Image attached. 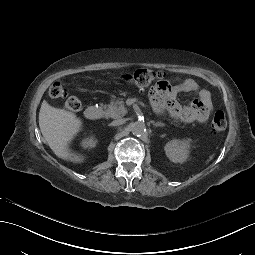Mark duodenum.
<instances>
[{
	"mask_svg": "<svg viewBox=\"0 0 255 255\" xmlns=\"http://www.w3.org/2000/svg\"><path fill=\"white\" fill-rule=\"evenodd\" d=\"M103 116V110L100 107L90 106L85 110V117L88 120H98Z\"/></svg>",
	"mask_w": 255,
	"mask_h": 255,
	"instance_id": "1",
	"label": "duodenum"
}]
</instances>
